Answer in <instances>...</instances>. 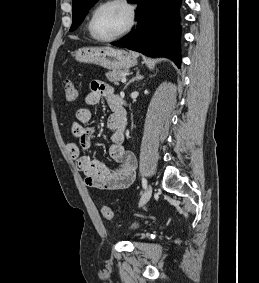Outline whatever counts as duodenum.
<instances>
[{"label":"duodenum","mask_w":259,"mask_h":283,"mask_svg":"<svg viewBox=\"0 0 259 283\" xmlns=\"http://www.w3.org/2000/svg\"><path fill=\"white\" fill-rule=\"evenodd\" d=\"M116 112H117V115L121 118V119H125V115H126V113H125V110H124V108H123V105H122V102L121 101H119V105H118V107H117V109H116Z\"/></svg>","instance_id":"410a0bca"}]
</instances>
